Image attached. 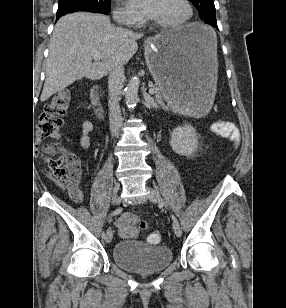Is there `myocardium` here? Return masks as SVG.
<instances>
[{
    "instance_id": "obj_1",
    "label": "myocardium",
    "mask_w": 286,
    "mask_h": 308,
    "mask_svg": "<svg viewBox=\"0 0 286 308\" xmlns=\"http://www.w3.org/2000/svg\"><path fill=\"white\" fill-rule=\"evenodd\" d=\"M181 1L187 10V14L182 20L177 21V22H171V23L158 22V21L153 20L152 24L155 27L160 28V29H176V28L182 27L186 25L187 23H189L192 20L193 15H194L193 6L190 0H181Z\"/></svg>"
}]
</instances>
